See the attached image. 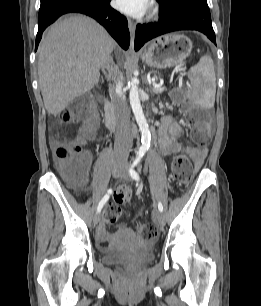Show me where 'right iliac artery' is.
Segmentation results:
<instances>
[{
  "instance_id": "right-iliac-artery-1",
  "label": "right iliac artery",
  "mask_w": 261,
  "mask_h": 306,
  "mask_svg": "<svg viewBox=\"0 0 261 306\" xmlns=\"http://www.w3.org/2000/svg\"><path fill=\"white\" fill-rule=\"evenodd\" d=\"M112 193V190L109 189L107 191V193L104 195V197L101 199V201L99 202L98 204V207H97V213H100L103 206L105 205V203L108 201L109 197H110V194Z\"/></svg>"
}]
</instances>
